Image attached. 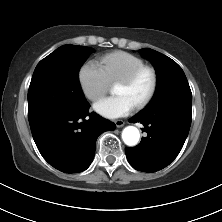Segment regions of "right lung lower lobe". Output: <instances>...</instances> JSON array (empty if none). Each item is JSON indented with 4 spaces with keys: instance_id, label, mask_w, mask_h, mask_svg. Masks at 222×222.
<instances>
[{
    "instance_id": "98d812e1",
    "label": "right lung lower lobe",
    "mask_w": 222,
    "mask_h": 222,
    "mask_svg": "<svg viewBox=\"0 0 222 222\" xmlns=\"http://www.w3.org/2000/svg\"><path fill=\"white\" fill-rule=\"evenodd\" d=\"M90 105L79 109H44L28 114L33 139L43 158L64 173L86 170L95 153V143L104 131L115 124L96 113Z\"/></svg>"
}]
</instances>
